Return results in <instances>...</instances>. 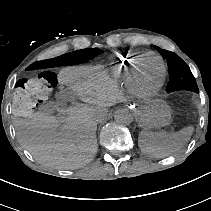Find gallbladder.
<instances>
[{"label":"gallbladder","instance_id":"gallbladder-1","mask_svg":"<svg viewBox=\"0 0 211 211\" xmlns=\"http://www.w3.org/2000/svg\"><path fill=\"white\" fill-rule=\"evenodd\" d=\"M76 98V93L71 88L65 87L59 90L55 105L58 108H63L67 101H74Z\"/></svg>","mask_w":211,"mask_h":211}]
</instances>
